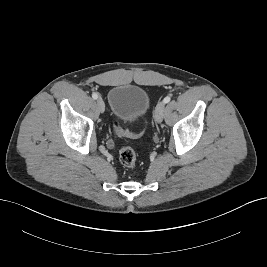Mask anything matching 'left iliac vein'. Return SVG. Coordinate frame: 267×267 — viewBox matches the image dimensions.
Listing matches in <instances>:
<instances>
[{"label":"left iliac vein","mask_w":267,"mask_h":267,"mask_svg":"<svg viewBox=\"0 0 267 267\" xmlns=\"http://www.w3.org/2000/svg\"><path fill=\"white\" fill-rule=\"evenodd\" d=\"M165 112V103L160 102L157 104L155 111H154V118L158 123H161L164 117Z\"/></svg>","instance_id":"1"}]
</instances>
